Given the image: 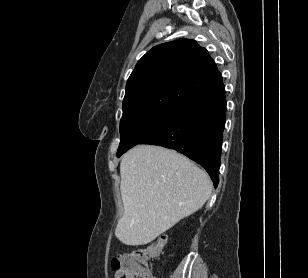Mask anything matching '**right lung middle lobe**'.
<instances>
[{"label":"right lung middle lobe","instance_id":"right-lung-middle-lobe-1","mask_svg":"<svg viewBox=\"0 0 308 278\" xmlns=\"http://www.w3.org/2000/svg\"><path fill=\"white\" fill-rule=\"evenodd\" d=\"M177 112L175 110H151L122 119L117 157L162 129Z\"/></svg>","mask_w":308,"mask_h":278}]
</instances>
